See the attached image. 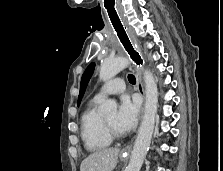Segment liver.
<instances>
[{"mask_svg": "<svg viewBox=\"0 0 223 171\" xmlns=\"http://www.w3.org/2000/svg\"><path fill=\"white\" fill-rule=\"evenodd\" d=\"M119 151L118 148H109L90 154L82 161L80 171H113Z\"/></svg>", "mask_w": 223, "mask_h": 171, "instance_id": "1", "label": "liver"}]
</instances>
